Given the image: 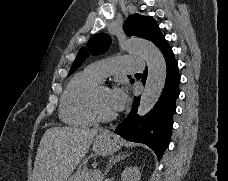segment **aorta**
<instances>
[{
	"mask_svg": "<svg viewBox=\"0 0 228 181\" xmlns=\"http://www.w3.org/2000/svg\"><path fill=\"white\" fill-rule=\"evenodd\" d=\"M127 51L140 55L148 67V77L138 106V114L144 116L157 103L166 81V62L161 51L151 42L139 38L126 42Z\"/></svg>",
	"mask_w": 228,
	"mask_h": 181,
	"instance_id": "762f6f07",
	"label": "aorta"
}]
</instances>
